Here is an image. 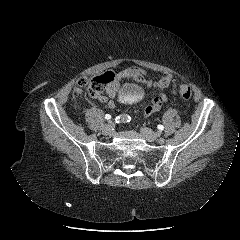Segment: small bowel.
<instances>
[{"label": "small bowel", "mask_w": 240, "mask_h": 240, "mask_svg": "<svg viewBox=\"0 0 240 240\" xmlns=\"http://www.w3.org/2000/svg\"><path fill=\"white\" fill-rule=\"evenodd\" d=\"M113 81L106 87V95H99L97 98L99 101L106 102L109 108L116 106L114 98L119 94V83L123 79L131 78L137 81L144 82L147 86L156 90L155 96L152 98L150 104L145 109V116L151 115L161 108V105L165 103L168 98L165 94V89L175 81V78L171 74L163 75L159 80L152 81L148 79V72L139 67H128L112 73Z\"/></svg>", "instance_id": "small-bowel-1"}]
</instances>
